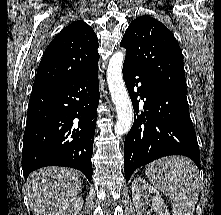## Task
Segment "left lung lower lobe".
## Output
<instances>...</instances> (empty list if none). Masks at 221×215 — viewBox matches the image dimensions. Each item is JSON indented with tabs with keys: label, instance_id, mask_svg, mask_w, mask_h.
I'll list each match as a JSON object with an SVG mask.
<instances>
[{
	"label": "left lung lower lobe",
	"instance_id": "obj_1",
	"mask_svg": "<svg viewBox=\"0 0 221 215\" xmlns=\"http://www.w3.org/2000/svg\"><path fill=\"white\" fill-rule=\"evenodd\" d=\"M123 78L134 108L133 127L124 142L126 181L136 168L168 155L188 156L200 169L199 146L186 93L126 62Z\"/></svg>",
	"mask_w": 221,
	"mask_h": 215
}]
</instances>
